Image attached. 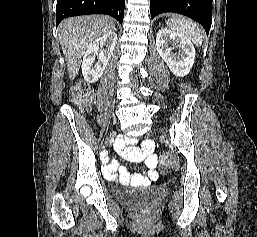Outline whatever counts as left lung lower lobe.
Segmentation results:
<instances>
[{"label":"left lung lower lobe","instance_id":"1","mask_svg":"<svg viewBox=\"0 0 257 237\" xmlns=\"http://www.w3.org/2000/svg\"><path fill=\"white\" fill-rule=\"evenodd\" d=\"M151 18L163 12H175L199 22L209 33L212 23V0H150Z\"/></svg>","mask_w":257,"mask_h":237}]
</instances>
